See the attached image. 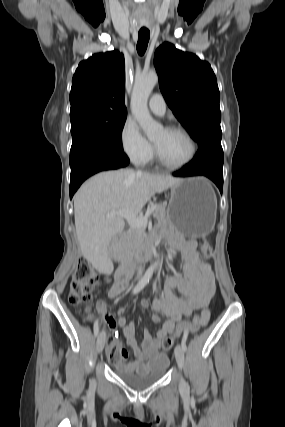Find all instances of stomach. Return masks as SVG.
Segmentation results:
<instances>
[{"mask_svg": "<svg viewBox=\"0 0 285 427\" xmlns=\"http://www.w3.org/2000/svg\"><path fill=\"white\" fill-rule=\"evenodd\" d=\"M216 209L215 192L205 178L181 179L171 187L167 220L182 236L201 238L213 230Z\"/></svg>", "mask_w": 285, "mask_h": 427, "instance_id": "1", "label": "stomach"}]
</instances>
